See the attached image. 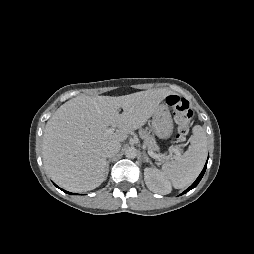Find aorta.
Returning <instances> with one entry per match:
<instances>
[{
    "label": "aorta",
    "instance_id": "1",
    "mask_svg": "<svg viewBox=\"0 0 254 254\" xmlns=\"http://www.w3.org/2000/svg\"><path fill=\"white\" fill-rule=\"evenodd\" d=\"M125 156L129 159H134L137 156V149L135 147H129L125 151Z\"/></svg>",
    "mask_w": 254,
    "mask_h": 254
}]
</instances>
